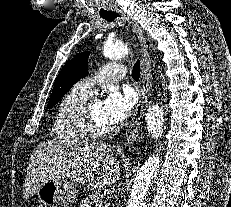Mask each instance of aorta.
Masks as SVG:
<instances>
[{
    "label": "aorta",
    "instance_id": "762f6f07",
    "mask_svg": "<svg viewBox=\"0 0 231 207\" xmlns=\"http://www.w3.org/2000/svg\"><path fill=\"white\" fill-rule=\"evenodd\" d=\"M127 45L121 42H107L103 47V55L111 60H119L129 55ZM146 124L149 134L154 139L162 136L164 119L163 110L156 104L148 109ZM161 161L158 156L149 157L139 169L130 192L127 207H146V193L160 169Z\"/></svg>",
    "mask_w": 231,
    "mask_h": 207
}]
</instances>
